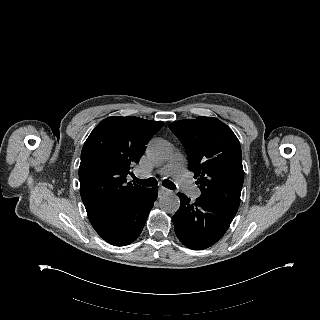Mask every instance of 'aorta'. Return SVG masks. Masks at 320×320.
Wrapping results in <instances>:
<instances>
[{
  "label": "aorta",
  "mask_w": 320,
  "mask_h": 320,
  "mask_svg": "<svg viewBox=\"0 0 320 320\" xmlns=\"http://www.w3.org/2000/svg\"><path fill=\"white\" fill-rule=\"evenodd\" d=\"M148 158L155 163L166 162L171 154L172 148L170 144L161 139H154L150 141L146 150ZM160 207L168 213H175L180 207V199L174 193H167L160 198Z\"/></svg>",
  "instance_id": "obj_1"
}]
</instances>
